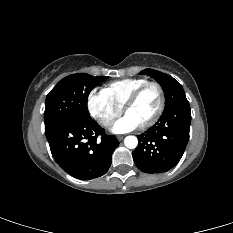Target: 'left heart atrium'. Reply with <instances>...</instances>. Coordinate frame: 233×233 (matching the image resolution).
Returning <instances> with one entry per match:
<instances>
[{
	"label": "left heart atrium",
	"instance_id": "1",
	"mask_svg": "<svg viewBox=\"0 0 233 233\" xmlns=\"http://www.w3.org/2000/svg\"><path fill=\"white\" fill-rule=\"evenodd\" d=\"M139 121L129 113L118 119L112 126L114 133H126L139 127Z\"/></svg>",
	"mask_w": 233,
	"mask_h": 233
}]
</instances>
